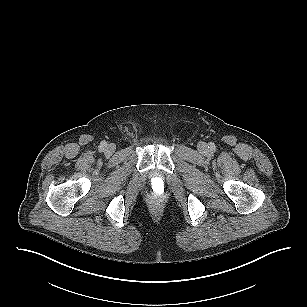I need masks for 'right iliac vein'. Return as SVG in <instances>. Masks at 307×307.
<instances>
[{
    "label": "right iliac vein",
    "instance_id": "1",
    "mask_svg": "<svg viewBox=\"0 0 307 307\" xmlns=\"http://www.w3.org/2000/svg\"><path fill=\"white\" fill-rule=\"evenodd\" d=\"M116 150V146L113 143L107 144L104 148V152L106 155H112Z\"/></svg>",
    "mask_w": 307,
    "mask_h": 307
}]
</instances>
